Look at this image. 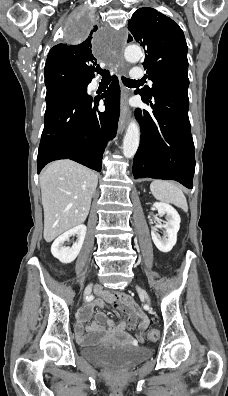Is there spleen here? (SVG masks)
Listing matches in <instances>:
<instances>
[{
  "label": "spleen",
  "mask_w": 228,
  "mask_h": 396,
  "mask_svg": "<svg viewBox=\"0 0 228 396\" xmlns=\"http://www.w3.org/2000/svg\"><path fill=\"white\" fill-rule=\"evenodd\" d=\"M150 190L157 200L172 203L185 212L188 211L187 200L182 190L174 183L165 180H154L150 184Z\"/></svg>",
  "instance_id": "1"
}]
</instances>
